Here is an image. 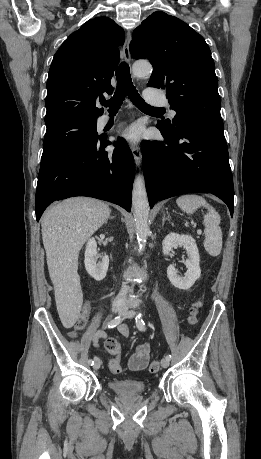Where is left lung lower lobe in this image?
<instances>
[{"label": "left lung lower lobe", "mask_w": 261, "mask_h": 459, "mask_svg": "<svg viewBox=\"0 0 261 459\" xmlns=\"http://www.w3.org/2000/svg\"><path fill=\"white\" fill-rule=\"evenodd\" d=\"M165 141H145L143 170L150 208L176 195L212 193L233 215L234 188L223 125H196L171 132L159 122Z\"/></svg>", "instance_id": "0a47b994"}]
</instances>
